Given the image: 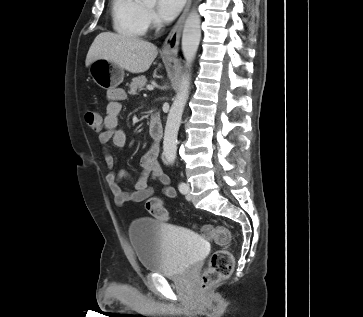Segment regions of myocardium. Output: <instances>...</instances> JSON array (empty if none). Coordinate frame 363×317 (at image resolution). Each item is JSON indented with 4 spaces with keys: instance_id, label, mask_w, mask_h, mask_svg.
<instances>
[{
    "instance_id": "1",
    "label": "myocardium",
    "mask_w": 363,
    "mask_h": 317,
    "mask_svg": "<svg viewBox=\"0 0 363 317\" xmlns=\"http://www.w3.org/2000/svg\"><path fill=\"white\" fill-rule=\"evenodd\" d=\"M149 12H151V9L150 8H146Z\"/></svg>"
}]
</instances>
